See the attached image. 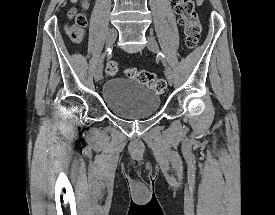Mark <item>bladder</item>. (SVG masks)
Returning a JSON list of instances; mask_svg holds the SVG:
<instances>
[{"mask_svg":"<svg viewBox=\"0 0 275 215\" xmlns=\"http://www.w3.org/2000/svg\"><path fill=\"white\" fill-rule=\"evenodd\" d=\"M102 100L113 115L124 119L153 116L160 106L158 93L135 80L120 78H110L102 85Z\"/></svg>","mask_w":275,"mask_h":215,"instance_id":"1","label":"bladder"}]
</instances>
